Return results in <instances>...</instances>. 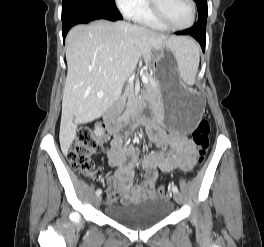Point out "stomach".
<instances>
[{
	"label": "stomach",
	"mask_w": 264,
	"mask_h": 247,
	"mask_svg": "<svg viewBox=\"0 0 264 247\" xmlns=\"http://www.w3.org/2000/svg\"><path fill=\"white\" fill-rule=\"evenodd\" d=\"M165 46L172 50L171 43ZM167 62H177L174 53H161V56L155 57V76L165 104V123L170 131H178V136H189L199 118L204 117L205 94H189L180 76H177V63Z\"/></svg>",
	"instance_id": "1"
}]
</instances>
